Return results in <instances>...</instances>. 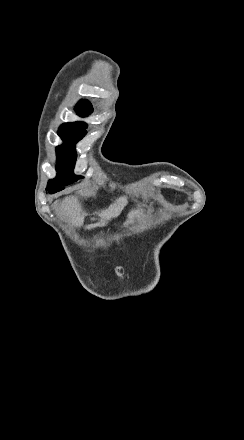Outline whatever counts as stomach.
I'll return each mask as SVG.
<instances>
[{"instance_id": "0dacf381", "label": "stomach", "mask_w": 244, "mask_h": 440, "mask_svg": "<svg viewBox=\"0 0 244 440\" xmlns=\"http://www.w3.org/2000/svg\"><path fill=\"white\" fill-rule=\"evenodd\" d=\"M146 214L147 210H145L144 206H136V208H132L127 216V220H125L123 224V228H128V226L134 224L139 218H145Z\"/></svg>"}]
</instances>
